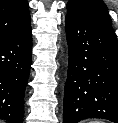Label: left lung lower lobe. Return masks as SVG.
Listing matches in <instances>:
<instances>
[{
    "label": "left lung lower lobe",
    "mask_w": 118,
    "mask_h": 123,
    "mask_svg": "<svg viewBox=\"0 0 118 123\" xmlns=\"http://www.w3.org/2000/svg\"><path fill=\"white\" fill-rule=\"evenodd\" d=\"M69 50L63 123H118V41L111 24L66 16Z\"/></svg>",
    "instance_id": "1"
}]
</instances>
